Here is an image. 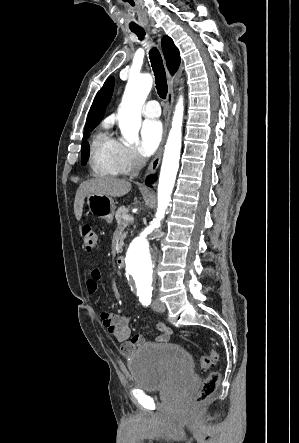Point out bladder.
<instances>
[{
    "label": "bladder",
    "instance_id": "31cf9c89",
    "mask_svg": "<svg viewBox=\"0 0 299 443\" xmlns=\"http://www.w3.org/2000/svg\"><path fill=\"white\" fill-rule=\"evenodd\" d=\"M134 385L145 391H158L188 381L193 375V359L175 343L142 346L127 361Z\"/></svg>",
    "mask_w": 299,
    "mask_h": 443
}]
</instances>
